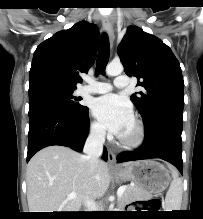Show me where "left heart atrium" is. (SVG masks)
<instances>
[{"instance_id":"39dd6f15","label":"left heart atrium","mask_w":203,"mask_h":219,"mask_svg":"<svg viewBox=\"0 0 203 219\" xmlns=\"http://www.w3.org/2000/svg\"><path fill=\"white\" fill-rule=\"evenodd\" d=\"M92 111L103 127L115 135H120L133 121L130 103L116 94H108L95 99Z\"/></svg>"}]
</instances>
